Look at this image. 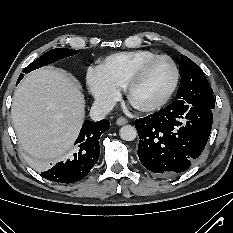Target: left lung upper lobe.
<instances>
[{
  "label": "left lung upper lobe",
  "instance_id": "5c2ea615",
  "mask_svg": "<svg viewBox=\"0 0 233 233\" xmlns=\"http://www.w3.org/2000/svg\"><path fill=\"white\" fill-rule=\"evenodd\" d=\"M179 70L181 82L174 102L213 109V92L201 68L188 57L181 55Z\"/></svg>",
  "mask_w": 233,
  "mask_h": 233
}]
</instances>
